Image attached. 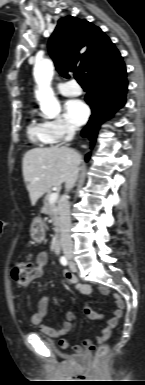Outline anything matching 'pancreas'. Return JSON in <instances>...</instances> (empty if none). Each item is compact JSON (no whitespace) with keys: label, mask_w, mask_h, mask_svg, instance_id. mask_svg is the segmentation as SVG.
<instances>
[{"label":"pancreas","mask_w":145,"mask_h":385,"mask_svg":"<svg viewBox=\"0 0 145 385\" xmlns=\"http://www.w3.org/2000/svg\"><path fill=\"white\" fill-rule=\"evenodd\" d=\"M50 195H51V192H48L44 198L42 212L51 218L54 225L53 229L56 232V236H58V233H59L58 206L56 201L52 204L49 203Z\"/></svg>","instance_id":"1"}]
</instances>
